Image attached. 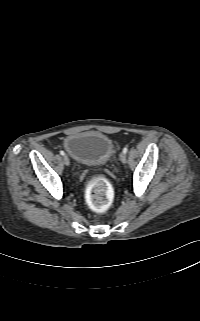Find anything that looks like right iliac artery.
Wrapping results in <instances>:
<instances>
[{
  "label": "right iliac artery",
  "instance_id": "right-iliac-artery-1",
  "mask_svg": "<svg viewBox=\"0 0 200 321\" xmlns=\"http://www.w3.org/2000/svg\"><path fill=\"white\" fill-rule=\"evenodd\" d=\"M60 154H61V155H65L64 151H60Z\"/></svg>",
  "mask_w": 200,
  "mask_h": 321
}]
</instances>
